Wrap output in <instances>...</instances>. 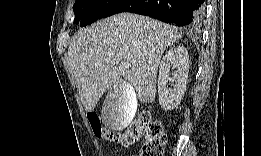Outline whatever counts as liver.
<instances>
[{
	"label": "liver",
	"instance_id": "1",
	"mask_svg": "<svg viewBox=\"0 0 261 156\" xmlns=\"http://www.w3.org/2000/svg\"><path fill=\"white\" fill-rule=\"evenodd\" d=\"M181 37L182 31L175 26L132 13H120L79 29L71 39L68 58L85 110L94 111L102 95L121 77L141 102L154 101L161 57ZM124 62L130 67H124ZM113 90L121 93V87ZM134 108L112 129L126 128Z\"/></svg>",
	"mask_w": 261,
	"mask_h": 156
}]
</instances>
